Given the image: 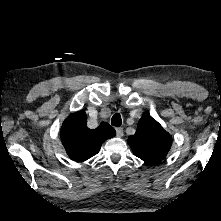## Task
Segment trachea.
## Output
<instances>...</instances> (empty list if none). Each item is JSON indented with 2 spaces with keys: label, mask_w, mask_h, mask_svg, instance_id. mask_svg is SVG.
<instances>
[{
  "label": "trachea",
  "mask_w": 221,
  "mask_h": 221,
  "mask_svg": "<svg viewBox=\"0 0 221 221\" xmlns=\"http://www.w3.org/2000/svg\"><path fill=\"white\" fill-rule=\"evenodd\" d=\"M111 124L116 127H120L122 124V119L119 113H116L111 120Z\"/></svg>",
  "instance_id": "1"
}]
</instances>
